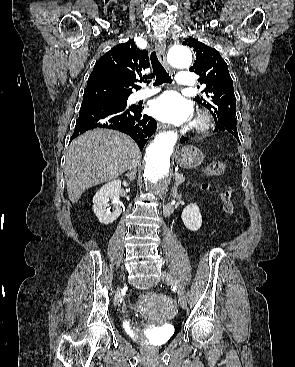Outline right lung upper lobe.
<instances>
[{"label": "right lung upper lobe", "instance_id": "cb5924a9", "mask_svg": "<svg viewBox=\"0 0 295 367\" xmlns=\"http://www.w3.org/2000/svg\"><path fill=\"white\" fill-rule=\"evenodd\" d=\"M149 67L148 53L140 50L134 41L118 44L103 55L89 76L86 89L105 88L120 95H130L142 82L141 70ZM140 78V80H139Z\"/></svg>", "mask_w": 295, "mask_h": 367}]
</instances>
